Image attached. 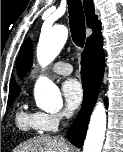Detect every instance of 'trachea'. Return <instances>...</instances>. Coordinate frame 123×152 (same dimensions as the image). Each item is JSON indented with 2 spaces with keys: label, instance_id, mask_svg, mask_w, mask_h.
<instances>
[{
  "label": "trachea",
  "instance_id": "obj_1",
  "mask_svg": "<svg viewBox=\"0 0 123 152\" xmlns=\"http://www.w3.org/2000/svg\"><path fill=\"white\" fill-rule=\"evenodd\" d=\"M69 9V25L75 45L83 48L85 43V17L81 0H67Z\"/></svg>",
  "mask_w": 123,
  "mask_h": 152
}]
</instances>
